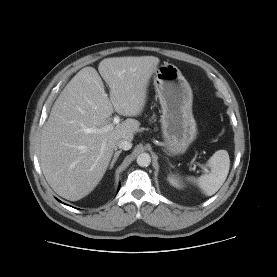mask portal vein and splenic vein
I'll return each instance as SVG.
<instances>
[{
  "mask_svg": "<svg viewBox=\"0 0 277 277\" xmlns=\"http://www.w3.org/2000/svg\"><path fill=\"white\" fill-rule=\"evenodd\" d=\"M119 122H120L119 116H115L114 119H113V124H118ZM87 132L90 133V132H93V130H92V129H87ZM198 165H199L206 173L209 172L208 169H207L205 166H203V165H201V164H198Z\"/></svg>",
  "mask_w": 277,
  "mask_h": 277,
  "instance_id": "portal-vein-and-splenic-vein-1",
  "label": "portal vein and splenic vein"
}]
</instances>
